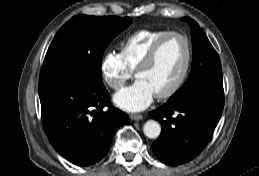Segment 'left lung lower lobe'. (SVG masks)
Wrapping results in <instances>:
<instances>
[{"label":"left lung lower lobe","instance_id":"obj_1","mask_svg":"<svg viewBox=\"0 0 259 176\" xmlns=\"http://www.w3.org/2000/svg\"><path fill=\"white\" fill-rule=\"evenodd\" d=\"M223 106L222 92L200 90L150 112V117L159 120L162 126L152 145L155 156L168 165L194 159L212 137Z\"/></svg>","mask_w":259,"mask_h":176}]
</instances>
